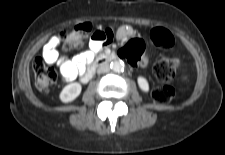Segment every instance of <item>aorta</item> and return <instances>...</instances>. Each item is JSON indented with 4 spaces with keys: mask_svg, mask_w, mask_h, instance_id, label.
Masks as SVG:
<instances>
[{
    "mask_svg": "<svg viewBox=\"0 0 225 155\" xmlns=\"http://www.w3.org/2000/svg\"><path fill=\"white\" fill-rule=\"evenodd\" d=\"M124 62L122 61H114L111 62L110 64V68L114 71V72H123L124 71Z\"/></svg>",
    "mask_w": 225,
    "mask_h": 155,
    "instance_id": "1",
    "label": "aorta"
}]
</instances>
